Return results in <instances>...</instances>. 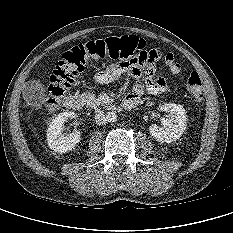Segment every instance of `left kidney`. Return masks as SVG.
<instances>
[{
    "label": "left kidney",
    "mask_w": 233,
    "mask_h": 233,
    "mask_svg": "<svg viewBox=\"0 0 233 233\" xmlns=\"http://www.w3.org/2000/svg\"><path fill=\"white\" fill-rule=\"evenodd\" d=\"M160 110L169 114L166 118L161 119L162 127L156 124L150 125V133L159 142H174L181 137L186 129V111L181 105L173 103L162 105Z\"/></svg>",
    "instance_id": "left-kidney-1"
}]
</instances>
